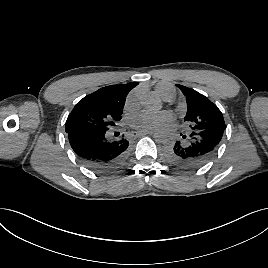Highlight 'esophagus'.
<instances>
[{"mask_svg": "<svg viewBox=\"0 0 268 268\" xmlns=\"http://www.w3.org/2000/svg\"><path fill=\"white\" fill-rule=\"evenodd\" d=\"M140 138H146V133H140Z\"/></svg>", "mask_w": 268, "mask_h": 268, "instance_id": "1", "label": "esophagus"}]
</instances>
